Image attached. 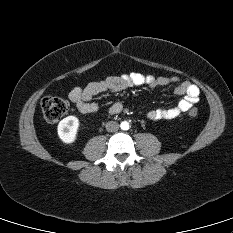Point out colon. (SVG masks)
<instances>
[{
    "label": "colon",
    "instance_id": "1",
    "mask_svg": "<svg viewBox=\"0 0 233 233\" xmlns=\"http://www.w3.org/2000/svg\"><path fill=\"white\" fill-rule=\"evenodd\" d=\"M41 108L44 118L50 123H56L66 114L68 103L60 97L47 95L41 100ZM198 113L197 108H191L188 115L190 117H196Z\"/></svg>",
    "mask_w": 233,
    "mask_h": 233
}]
</instances>
